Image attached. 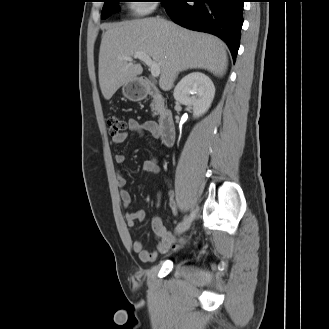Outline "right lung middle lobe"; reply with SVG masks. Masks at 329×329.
<instances>
[{
	"label": "right lung middle lobe",
	"mask_w": 329,
	"mask_h": 329,
	"mask_svg": "<svg viewBox=\"0 0 329 329\" xmlns=\"http://www.w3.org/2000/svg\"><path fill=\"white\" fill-rule=\"evenodd\" d=\"M121 0H104V6L101 13V18L105 19L109 17L112 13L118 10V2ZM162 5H164L168 0H161Z\"/></svg>",
	"instance_id": "dd1d6c3e"
}]
</instances>
